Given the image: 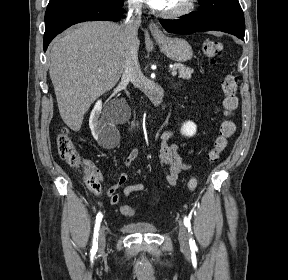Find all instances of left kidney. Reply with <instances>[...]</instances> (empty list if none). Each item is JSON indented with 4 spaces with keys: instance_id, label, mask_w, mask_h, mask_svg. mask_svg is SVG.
<instances>
[{
    "instance_id": "obj_1",
    "label": "left kidney",
    "mask_w": 288,
    "mask_h": 280,
    "mask_svg": "<svg viewBox=\"0 0 288 280\" xmlns=\"http://www.w3.org/2000/svg\"><path fill=\"white\" fill-rule=\"evenodd\" d=\"M181 133L184 136L191 137L196 133V125L192 121H187L181 126Z\"/></svg>"
}]
</instances>
